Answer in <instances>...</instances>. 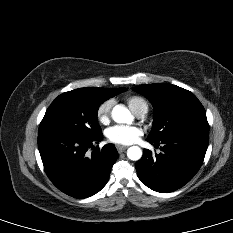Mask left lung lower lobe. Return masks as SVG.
Masks as SVG:
<instances>
[{
  "label": "left lung lower lobe",
  "mask_w": 233,
  "mask_h": 233,
  "mask_svg": "<svg viewBox=\"0 0 233 233\" xmlns=\"http://www.w3.org/2000/svg\"><path fill=\"white\" fill-rule=\"evenodd\" d=\"M159 154L145 149L136 163L139 179L149 188L161 193L175 191L188 183L201 167L209 143V135L189 134L160 142Z\"/></svg>",
  "instance_id": "obj_1"
}]
</instances>
